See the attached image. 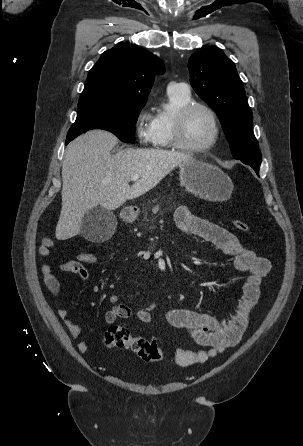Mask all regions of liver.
<instances>
[{
  "label": "liver",
  "mask_w": 303,
  "mask_h": 446,
  "mask_svg": "<svg viewBox=\"0 0 303 446\" xmlns=\"http://www.w3.org/2000/svg\"><path fill=\"white\" fill-rule=\"evenodd\" d=\"M117 137L103 130L89 131L67 147L62 165V209L56 238L66 240L80 232L90 209L109 211L153 189L191 155L161 149L127 148L112 155ZM132 175L139 179L129 186Z\"/></svg>",
  "instance_id": "obj_1"
}]
</instances>
